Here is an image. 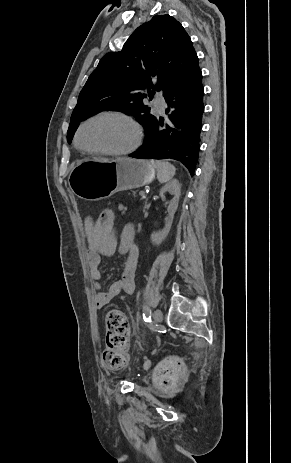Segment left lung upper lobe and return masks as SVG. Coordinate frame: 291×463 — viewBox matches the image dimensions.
I'll use <instances>...</instances> for the list:
<instances>
[{"mask_svg":"<svg viewBox=\"0 0 291 463\" xmlns=\"http://www.w3.org/2000/svg\"><path fill=\"white\" fill-rule=\"evenodd\" d=\"M198 67L197 54L183 26L170 15L154 16L133 32L121 51L101 58L79 94L68 143L81 121L104 110L130 114L146 131L155 116L143 100H151L155 91L165 96Z\"/></svg>","mask_w":291,"mask_h":463,"instance_id":"left-lung-upper-lobe-1","label":"left lung upper lobe"}]
</instances>
